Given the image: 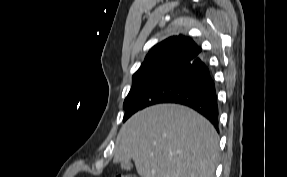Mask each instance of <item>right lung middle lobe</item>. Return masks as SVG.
Segmentation results:
<instances>
[{
	"label": "right lung middle lobe",
	"instance_id": "obj_1",
	"mask_svg": "<svg viewBox=\"0 0 287 177\" xmlns=\"http://www.w3.org/2000/svg\"><path fill=\"white\" fill-rule=\"evenodd\" d=\"M180 64L182 63L178 59H166L148 67L139 68L133 75L131 90L124 101L125 112L156 79ZM127 118L129 114L125 113L123 121Z\"/></svg>",
	"mask_w": 287,
	"mask_h": 177
}]
</instances>
